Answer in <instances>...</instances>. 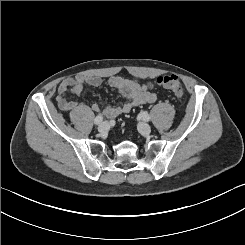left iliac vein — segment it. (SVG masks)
Returning <instances> with one entry per match:
<instances>
[{"label":"left iliac vein","mask_w":245,"mask_h":245,"mask_svg":"<svg viewBox=\"0 0 245 245\" xmlns=\"http://www.w3.org/2000/svg\"><path fill=\"white\" fill-rule=\"evenodd\" d=\"M139 129H140L141 133L144 135H148L151 131L150 126L145 122H141L139 124Z\"/></svg>","instance_id":"left-iliac-vein-1"}]
</instances>
